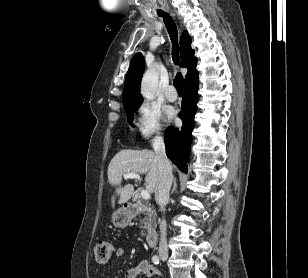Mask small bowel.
I'll use <instances>...</instances> for the list:
<instances>
[{
  "label": "small bowel",
  "mask_w": 308,
  "mask_h": 278,
  "mask_svg": "<svg viewBox=\"0 0 308 278\" xmlns=\"http://www.w3.org/2000/svg\"><path fill=\"white\" fill-rule=\"evenodd\" d=\"M126 254L125 248H118L114 252L115 258L124 257ZM141 275L147 278H160V272L148 260H142L138 266L128 270L124 278H138Z\"/></svg>",
  "instance_id": "c3829d8e"
}]
</instances>
